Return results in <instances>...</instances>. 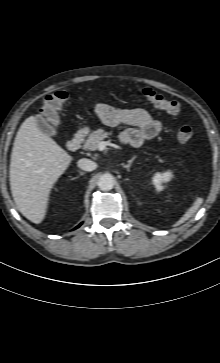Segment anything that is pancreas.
Masks as SVG:
<instances>
[{
	"mask_svg": "<svg viewBox=\"0 0 220 363\" xmlns=\"http://www.w3.org/2000/svg\"><path fill=\"white\" fill-rule=\"evenodd\" d=\"M112 132L108 133L102 129H98L91 133L88 139L84 142V149H89L91 151H95L97 149L98 144L111 135Z\"/></svg>",
	"mask_w": 220,
	"mask_h": 363,
	"instance_id": "obj_1",
	"label": "pancreas"
}]
</instances>
